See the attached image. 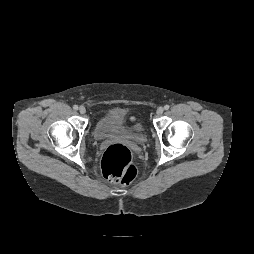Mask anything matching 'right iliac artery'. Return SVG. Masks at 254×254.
Listing matches in <instances>:
<instances>
[{"label": "right iliac artery", "mask_w": 254, "mask_h": 254, "mask_svg": "<svg viewBox=\"0 0 254 254\" xmlns=\"http://www.w3.org/2000/svg\"><path fill=\"white\" fill-rule=\"evenodd\" d=\"M73 109H74V110H78V106H77V105H74V106H73Z\"/></svg>", "instance_id": "82829eb1"}]
</instances>
